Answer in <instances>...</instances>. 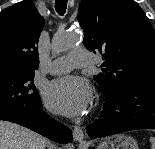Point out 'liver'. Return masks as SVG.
I'll list each match as a JSON object with an SVG mask.
<instances>
[{
	"label": "liver",
	"instance_id": "liver-1",
	"mask_svg": "<svg viewBox=\"0 0 155 149\" xmlns=\"http://www.w3.org/2000/svg\"><path fill=\"white\" fill-rule=\"evenodd\" d=\"M48 140L15 123L0 121V149H46Z\"/></svg>",
	"mask_w": 155,
	"mask_h": 149
}]
</instances>
